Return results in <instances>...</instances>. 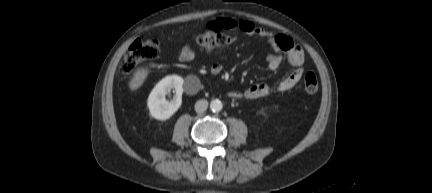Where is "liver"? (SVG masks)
<instances>
[{
	"label": "liver",
	"mask_w": 432,
	"mask_h": 193,
	"mask_svg": "<svg viewBox=\"0 0 432 193\" xmlns=\"http://www.w3.org/2000/svg\"><path fill=\"white\" fill-rule=\"evenodd\" d=\"M148 71L146 69H141L135 72L133 79L129 82V88L134 91L137 90L144 82L147 77Z\"/></svg>",
	"instance_id": "obj_1"
}]
</instances>
